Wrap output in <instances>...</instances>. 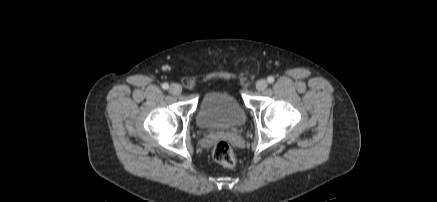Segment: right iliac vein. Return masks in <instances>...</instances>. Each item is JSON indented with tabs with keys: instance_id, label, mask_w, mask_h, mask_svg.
<instances>
[{
	"instance_id": "right-iliac-vein-1",
	"label": "right iliac vein",
	"mask_w": 437,
	"mask_h": 202,
	"mask_svg": "<svg viewBox=\"0 0 437 202\" xmlns=\"http://www.w3.org/2000/svg\"><path fill=\"white\" fill-rule=\"evenodd\" d=\"M182 91V87L179 84H172L169 88V92L173 95H179Z\"/></svg>"
}]
</instances>
